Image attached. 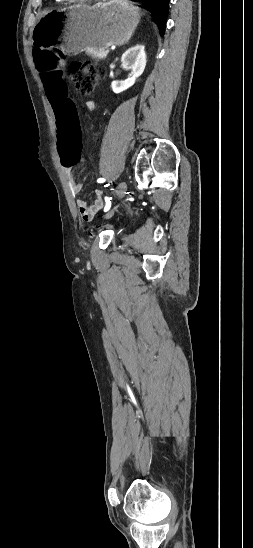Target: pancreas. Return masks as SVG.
<instances>
[{"mask_svg": "<svg viewBox=\"0 0 253 548\" xmlns=\"http://www.w3.org/2000/svg\"><path fill=\"white\" fill-rule=\"evenodd\" d=\"M86 53L95 59H105L108 51L105 48L88 47Z\"/></svg>", "mask_w": 253, "mask_h": 548, "instance_id": "cf45deb5", "label": "pancreas"}]
</instances>
